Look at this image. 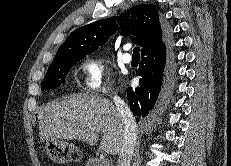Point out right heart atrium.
I'll return each mask as SVG.
<instances>
[{
    "label": "right heart atrium",
    "mask_w": 231,
    "mask_h": 166,
    "mask_svg": "<svg viewBox=\"0 0 231 166\" xmlns=\"http://www.w3.org/2000/svg\"><path fill=\"white\" fill-rule=\"evenodd\" d=\"M82 74L84 89L88 93L102 94L109 91V74L101 57H86L82 62Z\"/></svg>",
    "instance_id": "d8ad5b80"
}]
</instances>
